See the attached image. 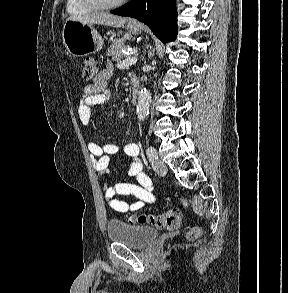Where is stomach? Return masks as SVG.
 I'll list each match as a JSON object with an SVG mask.
<instances>
[{"label": "stomach", "instance_id": "obj_1", "mask_svg": "<svg viewBox=\"0 0 288 293\" xmlns=\"http://www.w3.org/2000/svg\"><path fill=\"white\" fill-rule=\"evenodd\" d=\"M127 30L132 34H139L141 27L129 22ZM62 39L67 52L75 57L96 53L102 49L104 44L102 37L92 25L77 20H66Z\"/></svg>", "mask_w": 288, "mask_h": 293}]
</instances>
